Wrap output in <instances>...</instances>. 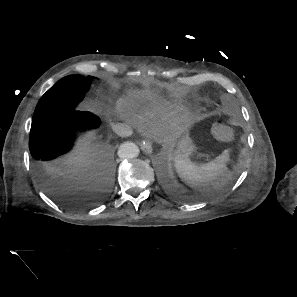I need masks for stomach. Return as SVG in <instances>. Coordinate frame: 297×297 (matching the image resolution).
Returning <instances> with one entry per match:
<instances>
[{"label":"stomach","mask_w":297,"mask_h":297,"mask_svg":"<svg viewBox=\"0 0 297 297\" xmlns=\"http://www.w3.org/2000/svg\"><path fill=\"white\" fill-rule=\"evenodd\" d=\"M196 150V147L189 137V135H184L177 143L176 158H188Z\"/></svg>","instance_id":"obj_1"}]
</instances>
